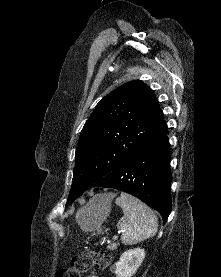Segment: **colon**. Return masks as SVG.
I'll use <instances>...</instances> for the list:
<instances>
[{
	"label": "colon",
	"mask_w": 221,
	"mask_h": 277,
	"mask_svg": "<svg viewBox=\"0 0 221 277\" xmlns=\"http://www.w3.org/2000/svg\"><path fill=\"white\" fill-rule=\"evenodd\" d=\"M111 263V257L104 251H86L73 257L69 266L57 271L56 277H81L89 269L95 267L105 269Z\"/></svg>",
	"instance_id": "1"
}]
</instances>
